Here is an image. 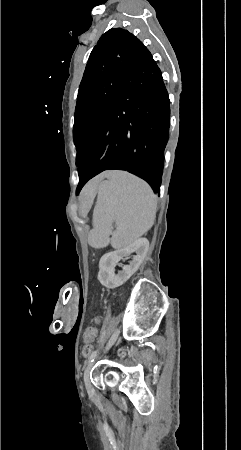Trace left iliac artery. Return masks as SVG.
<instances>
[{"label": "left iliac artery", "instance_id": "44dca946", "mask_svg": "<svg viewBox=\"0 0 241 450\" xmlns=\"http://www.w3.org/2000/svg\"><path fill=\"white\" fill-rule=\"evenodd\" d=\"M96 355H97V350H95V351H93V352L91 353V355H90L89 358H88V363L93 362V361H94V358L96 357Z\"/></svg>", "mask_w": 241, "mask_h": 450}]
</instances>
